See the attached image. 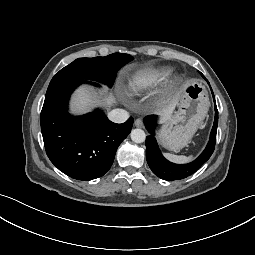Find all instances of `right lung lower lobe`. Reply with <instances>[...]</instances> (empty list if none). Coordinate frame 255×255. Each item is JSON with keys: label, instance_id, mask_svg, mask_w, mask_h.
<instances>
[{"label": "right lung lower lobe", "instance_id": "1", "mask_svg": "<svg viewBox=\"0 0 255 255\" xmlns=\"http://www.w3.org/2000/svg\"><path fill=\"white\" fill-rule=\"evenodd\" d=\"M81 83L71 79L49 85L41 112V131L47 156L66 175L78 180H93L111 167L116 150L130 133L133 118L116 124L103 111L73 117L67 111L72 91Z\"/></svg>", "mask_w": 255, "mask_h": 255}]
</instances>
